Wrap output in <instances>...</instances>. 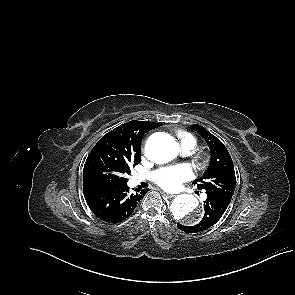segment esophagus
Listing matches in <instances>:
<instances>
[{
  "label": "esophagus",
  "mask_w": 295,
  "mask_h": 295,
  "mask_svg": "<svg viewBox=\"0 0 295 295\" xmlns=\"http://www.w3.org/2000/svg\"><path fill=\"white\" fill-rule=\"evenodd\" d=\"M161 194L164 196V197H166V198H173V197H175V195L174 194H168V193H166V192H161Z\"/></svg>",
  "instance_id": "obj_1"
}]
</instances>
